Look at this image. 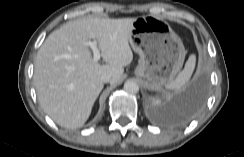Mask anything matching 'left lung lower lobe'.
Masks as SVG:
<instances>
[{
    "mask_svg": "<svg viewBox=\"0 0 244 157\" xmlns=\"http://www.w3.org/2000/svg\"><path fill=\"white\" fill-rule=\"evenodd\" d=\"M206 93L205 80L199 79L182 92L173 111L165 117L170 122H186L201 108Z\"/></svg>",
    "mask_w": 244,
    "mask_h": 157,
    "instance_id": "1",
    "label": "left lung lower lobe"
}]
</instances>
